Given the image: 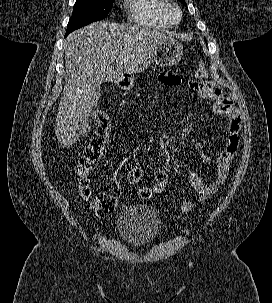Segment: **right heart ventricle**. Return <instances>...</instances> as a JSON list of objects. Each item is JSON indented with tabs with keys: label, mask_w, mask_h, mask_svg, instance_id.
Wrapping results in <instances>:
<instances>
[{
	"label": "right heart ventricle",
	"mask_w": 272,
	"mask_h": 303,
	"mask_svg": "<svg viewBox=\"0 0 272 303\" xmlns=\"http://www.w3.org/2000/svg\"><path fill=\"white\" fill-rule=\"evenodd\" d=\"M165 0H129L128 12L131 20L141 26L166 29L169 23L164 17Z\"/></svg>",
	"instance_id": "1"
}]
</instances>
